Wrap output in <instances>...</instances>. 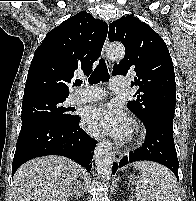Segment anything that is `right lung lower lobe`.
Masks as SVG:
<instances>
[{"label":"right lung lower lobe","instance_id":"right-lung-lower-lobe-1","mask_svg":"<svg viewBox=\"0 0 196 201\" xmlns=\"http://www.w3.org/2000/svg\"><path fill=\"white\" fill-rule=\"evenodd\" d=\"M79 121V116L68 123L46 118L22 121L12 163V176L23 163L44 155L68 157L89 172L97 141L80 128Z\"/></svg>","mask_w":196,"mask_h":201}]
</instances>
